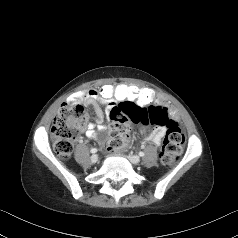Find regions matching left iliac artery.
I'll list each match as a JSON object with an SVG mask.
<instances>
[{"label":"left iliac artery","instance_id":"obj_1","mask_svg":"<svg viewBox=\"0 0 238 238\" xmlns=\"http://www.w3.org/2000/svg\"><path fill=\"white\" fill-rule=\"evenodd\" d=\"M139 156L143 157L144 153L143 152H139Z\"/></svg>","mask_w":238,"mask_h":238}]
</instances>
